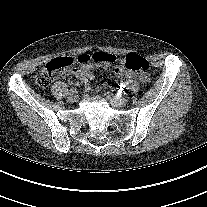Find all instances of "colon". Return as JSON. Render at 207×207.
I'll return each mask as SVG.
<instances>
[{
  "label": "colon",
  "mask_w": 207,
  "mask_h": 207,
  "mask_svg": "<svg viewBox=\"0 0 207 207\" xmlns=\"http://www.w3.org/2000/svg\"><path fill=\"white\" fill-rule=\"evenodd\" d=\"M86 59L89 61H97L103 63H113L117 60V57L110 53L97 52L93 54H86ZM76 61L71 56H61L54 60H51L46 66L41 69L35 77V82L40 88H46L51 85L55 78V71L72 68ZM124 66L131 72L146 73L149 69V62L143 56L130 53L126 56Z\"/></svg>",
  "instance_id": "obj_1"
}]
</instances>
